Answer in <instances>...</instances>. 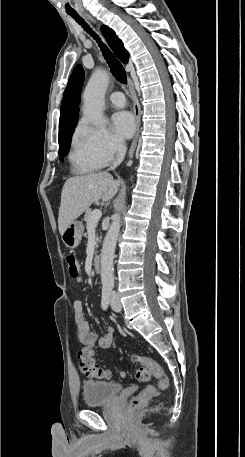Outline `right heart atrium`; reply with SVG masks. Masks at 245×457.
Wrapping results in <instances>:
<instances>
[{"label":"right heart atrium","instance_id":"obj_1","mask_svg":"<svg viewBox=\"0 0 245 457\" xmlns=\"http://www.w3.org/2000/svg\"><path fill=\"white\" fill-rule=\"evenodd\" d=\"M81 135L89 153L102 164L112 161L124 150V143L100 126L85 122L81 127Z\"/></svg>","mask_w":245,"mask_h":457}]
</instances>
